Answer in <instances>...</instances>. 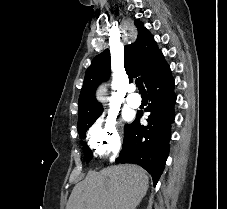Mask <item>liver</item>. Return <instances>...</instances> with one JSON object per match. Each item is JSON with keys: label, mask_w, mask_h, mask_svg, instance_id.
<instances>
[{"label": "liver", "mask_w": 227, "mask_h": 209, "mask_svg": "<svg viewBox=\"0 0 227 209\" xmlns=\"http://www.w3.org/2000/svg\"><path fill=\"white\" fill-rule=\"evenodd\" d=\"M149 177L137 165L107 167L90 171L75 185L66 209H136L145 197Z\"/></svg>", "instance_id": "6515ba94"}]
</instances>
